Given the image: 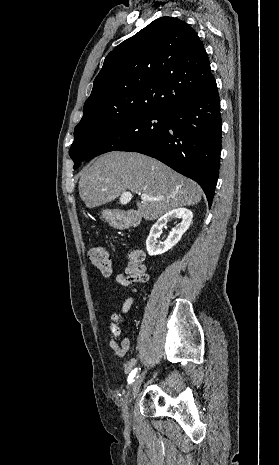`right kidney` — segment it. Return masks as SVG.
I'll return each instance as SVG.
<instances>
[{"label":"right kidney","mask_w":279,"mask_h":465,"mask_svg":"<svg viewBox=\"0 0 279 465\" xmlns=\"http://www.w3.org/2000/svg\"><path fill=\"white\" fill-rule=\"evenodd\" d=\"M177 218H180L181 222L172 229L164 242L158 243L157 238L160 237L162 228L167 224V222ZM192 218V211L186 208L173 209L160 217L152 226L149 236L146 240V249L148 254L150 256L163 254L175 246L180 241L182 235L189 228Z\"/></svg>","instance_id":"right-kidney-1"}]
</instances>
